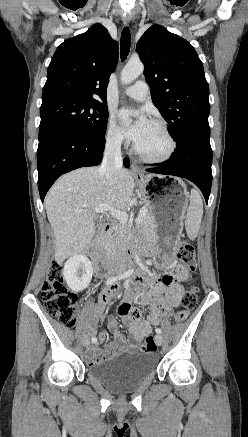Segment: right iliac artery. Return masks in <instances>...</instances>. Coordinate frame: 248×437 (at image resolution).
I'll return each mask as SVG.
<instances>
[{
    "instance_id": "obj_1",
    "label": "right iliac artery",
    "mask_w": 248,
    "mask_h": 437,
    "mask_svg": "<svg viewBox=\"0 0 248 437\" xmlns=\"http://www.w3.org/2000/svg\"><path fill=\"white\" fill-rule=\"evenodd\" d=\"M132 273H133V269H130V270L126 271L122 275L108 278L106 283H107V285H110V284H112V283H114V282H116L118 280L125 279V278L129 277ZM95 342H97V339L95 337H93L92 338V343H95Z\"/></svg>"
}]
</instances>
